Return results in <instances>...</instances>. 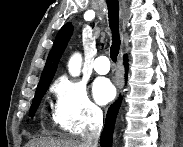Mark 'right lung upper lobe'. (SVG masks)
<instances>
[{
  "mask_svg": "<svg viewBox=\"0 0 183 147\" xmlns=\"http://www.w3.org/2000/svg\"><path fill=\"white\" fill-rule=\"evenodd\" d=\"M72 30L73 28L71 23H66L58 32L52 50L50 51L47 58L37 89L49 87L57 70L60 57L67 46L68 40L71 37Z\"/></svg>",
  "mask_w": 183,
  "mask_h": 147,
  "instance_id": "right-lung-upper-lobe-1",
  "label": "right lung upper lobe"
}]
</instances>
